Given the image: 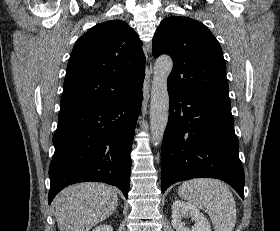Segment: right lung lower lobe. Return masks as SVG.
<instances>
[{"label": "right lung lower lobe", "mask_w": 280, "mask_h": 231, "mask_svg": "<svg viewBox=\"0 0 280 231\" xmlns=\"http://www.w3.org/2000/svg\"><path fill=\"white\" fill-rule=\"evenodd\" d=\"M141 89L59 115L49 167V204L64 187L85 181L117 186L127 198Z\"/></svg>", "instance_id": "obj_1"}]
</instances>
